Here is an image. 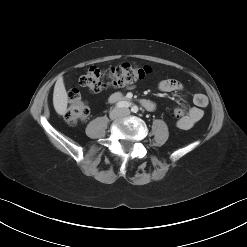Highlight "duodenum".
I'll return each instance as SVG.
<instances>
[{"label":"duodenum","instance_id":"duodenum-1","mask_svg":"<svg viewBox=\"0 0 247 247\" xmlns=\"http://www.w3.org/2000/svg\"><path fill=\"white\" fill-rule=\"evenodd\" d=\"M125 97L122 94H114L111 96V101H120L123 100Z\"/></svg>","mask_w":247,"mask_h":247}]
</instances>
